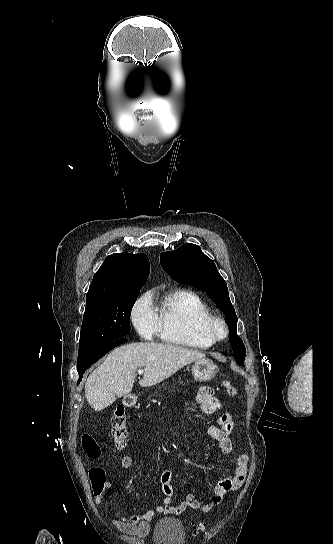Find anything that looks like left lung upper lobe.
<instances>
[{
  "label": "left lung upper lobe",
  "instance_id": "obj_1",
  "mask_svg": "<svg viewBox=\"0 0 333 544\" xmlns=\"http://www.w3.org/2000/svg\"><path fill=\"white\" fill-rule=\"evenodd\" d=\"M160 262L163 269L177 281L189 283L205 291L226 314V323L231 333L233 356L243 365L246 349L236 334L237 316L231 304L227 284L214 262L195 244H184L171 252H162Z\"/></svg>",
  "mask_w": 333,
  "mask_h": 544
}]
</instances>
